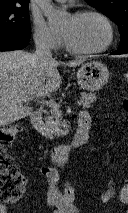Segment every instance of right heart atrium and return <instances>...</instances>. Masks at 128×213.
I'll return each instance as SVG.
<instances>
[{"instance_id":"d8ad5b80","label":"right heart atrium","mask_w":128,"mask_h":213,"mask_svg":"<svg viewBox=\"0 0 128 213\" xmlns=\"http://www.w3.org/2000/svg\"><path fill=\"white\" fill-rule=\"evenodd\" d=\"M32 24L33 37L39 47L55 50L62 45L61 35L51 30L40 17L34 15Z\"/></svg>"}]
</instances>
